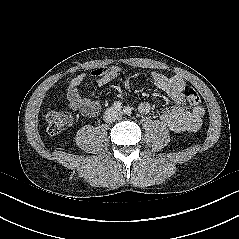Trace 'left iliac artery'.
<instances>
[{"label":"left iliac artery","instance_id":"1","mask_svg":"<svg viewBox=\"0 0 239 239\" xmlns=\"http://www.w3.org/2000/svg\"><path fill=\"white\" fill-rule=\"evenodd\" d=\"M123 111H124V113H125L126 115H130V114H131V108L128 107V106L125 107Z\"/></svg>","mask_w":239,"mask_h":239}]
</instances>
